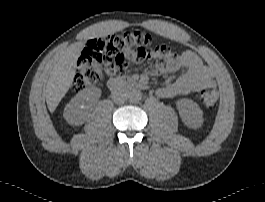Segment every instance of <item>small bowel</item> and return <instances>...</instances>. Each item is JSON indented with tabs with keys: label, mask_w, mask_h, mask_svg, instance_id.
<instances>
[{
	"label": "small bowel",
	"mask_w": 265,
	"mask_h": 202,
	"mask_svg": "<svg viewBox=\"0 0 265 202\" xmlns=\"http://www.w3.org/2000/svg\"><path fill=\"white\" fill-rule=\"evenodd\" d=\"M100 38L90 39L86 42L82 50L84 56L92 53ZM181 67L186 68L174 82L169 83L159 89L158 95L162 98L170 99L180 95H185L207 86H213V71L205 66L200 58L192 51L187 50L180 54H172L166 51L157 57V61L150 65L145 73L151 76L171 74Z\"/></svg>",
	"instance_id": "small-bowel-1"
}]
</instances>
